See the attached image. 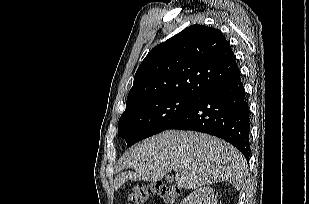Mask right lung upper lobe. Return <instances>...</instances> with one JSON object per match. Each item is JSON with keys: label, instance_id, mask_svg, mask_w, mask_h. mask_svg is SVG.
Listing matches in <instances>:
<instances>
[{"label": "right lung upper lobe", "instance_id": "obj_1", "mask_svg": "<svg viewBox=\"0 0 309 204\" xmlns=\"http://www.w3.org/2000/svg\"><path fill=\"white\" fill-rule=\"evenodd\" d=\"M238 73L222 32L192 25L148 53L135 74L126 105L164 95L201 97Z\"/></svg>", "mask_w": 309, "mask_h": 204}]
</instances>
